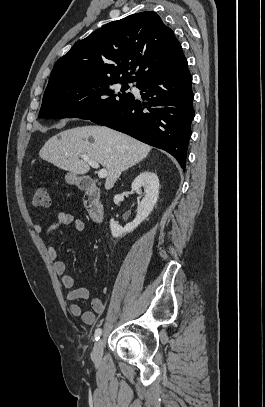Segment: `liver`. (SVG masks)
<instances>
[{"label":"liver","instance_id":"liver-1","mask_svg":"<svg viewBox=\"0 0 265 407\" xmlns=\"http://www.w3.org/2000/svg\"><path fill=\"white\" fill-rule=\"evenodd\" d=\"M150 151L149 145L124 133L88 125L51 137L39 156L61 169L83 175L90 170V165L80 159L81 155H86L106 168L105 189L110 190L123 171L145 159Z\"/></svg>","mask_w":265,"mask_h":407}]
</instances>
